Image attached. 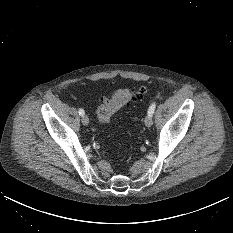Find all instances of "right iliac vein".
I'll return each instance as SVG.
<instances>
[{"label": "right iliac vein", "instance_id": "63e3f726", "mask_svg": "<svg viewBox=\"0 0 233 233\" xmlns=\"http://www.w3.org/2000/svg\"><path fill=\"white\" fill-rule=\"evenodd\" d=\"M81 121H82L83 125H88L89 124V117L84 114L81 117Z\"/></svg>", "mask_w": 233, "mask_h": 233}]
</instances>
